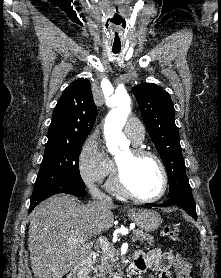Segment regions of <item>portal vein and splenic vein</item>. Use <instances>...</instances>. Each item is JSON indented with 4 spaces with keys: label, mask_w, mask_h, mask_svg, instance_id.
Returning a JSON list of instances; mask_svg holds the SVG:
<instances>
[{
    "label": "portal vein and splenic vein",
    "mask_w": 221,
    "mask_h": 278,
    "mask_svg": "<svg viewBox=\"0 0 221 278\" xmlns=\"http://www.w3.org/2000/svg\"><path fill=\"white\" fill-rule=\"evenodd\" d=\"M132 241H135V237H132ZM75 243L81 242L79 240H74ZM98 243L100 245V247L104 250V251H109L111 249V244L104 238H99L98 239Z\"/></svg>",
    "instance_id": "1"
}]
</instances>
